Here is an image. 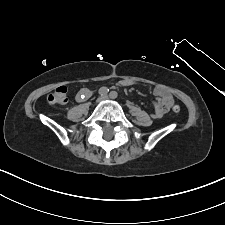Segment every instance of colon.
Masks as SVG:
<instances>
[{
    "label": "colon",
    "instance_id": "1",
    "mask_svg": "<svg viewBox=\"0 0 225 225\" xmlns=\"http://www.w3.org/2000/svg\"><path fill=\"white\" fill-rule=\"evenodd\" d=\"M48 102L51 104H65L68 101V89L65 85L57 87L49 96ZM174 113H179L181 107L179 105H174L172 107Z\"/></svg>",
    "mask_w": 225,
    "mask_h": 225
}]
</instances>
